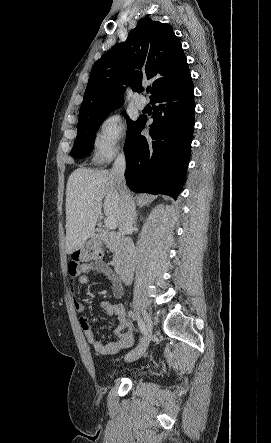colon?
Returning a JSON list of instances; mask_svg holds the SVG:
<instances>
[{"instance_id":"obj_1","label":"colon","mask_w":271,"mask_h":443,"mask_svg":"<svg viewBox=\"0 0 271 443\" xmlns=\"http://www.w3.org/2000/svg\"><path fill=\"white\" fill-rule=\"evenodd\" d=\"M104 253L99 242H86L76 248L71 254V263L80 264L97 260Z\"/></svg>"}]
</instances>
